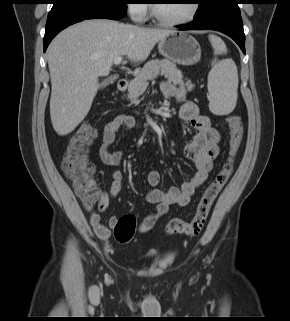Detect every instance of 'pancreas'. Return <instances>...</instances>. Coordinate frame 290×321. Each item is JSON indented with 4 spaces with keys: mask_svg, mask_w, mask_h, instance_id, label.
<instances>
[{
    "mask_svg": "<svg viewBox=\"0 0 290 321\" xmlns=\"http://www.w3.org/2000/svg\"><path fill=\"white\" fill-rule=\"evenodd\" d=\"M164 75L169 81L180 86H186L189 91L193 89L190 80L184 82L182 72L177 69L176 64L167 60H151L139 70L128 87V97L131 100L138 99L147 89L149 80H153L158 75Z\"/></svg>",
    "mask_w": 290,
    "mask_h": 321,
    "instance_id": "1",
    "label": "pancreas"
}]
</instances>
